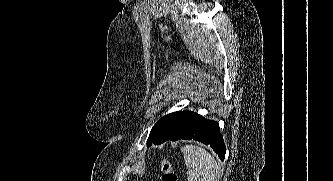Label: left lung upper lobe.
<instances>
[{"instance_id": "obj_1", "label": "left lung upper lobe", "mask_w": 333, "mask_h": 181, "mask_svg": "<svg viewBox=\"0 0 333 181\" xmlns=\"http://www.w3.org/2000/svg\"><path fill=\"white\" fill-rule=\"evenodd\" d=\"M198 114L182 111L174 112L162 117L156 124L153 126L148 143L152 142L155 138L163 140H171L182 132L196 117Z\"/></svg>"}]
</instances>
